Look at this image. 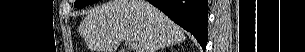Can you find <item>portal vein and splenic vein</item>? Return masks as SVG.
Segmentation results:
<instances>
[{
  "label": "portal vein and splenic vein",
  "mask_w": 305,
  "mask_h": 52,
  "mask_svg": "<svg viewBox=\"0 0 305 52\" xmlns=\"http://www.w3.org/2000/svg\"><path fill=\"white\" fill-rule=\"evenodd\" d=\"M126 41L131 45L132 49L136 48V44L133 41H130V40H126Z\"/></svg>",
  "instance_id": "portal-vein-and-splenic-vein-1"
}]
</instances>
